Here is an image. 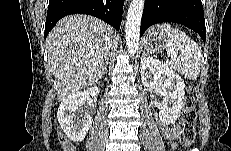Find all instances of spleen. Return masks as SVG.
I'll return each mask as SVG.
<instances>
[{"instance_id": "3e777b00", "label": "spleen", "mask_w": 231, "mask_h": 151, "mask_svg": "<svg viewBox=\"0 0 231 151\" xmlns=\"http://www.w3.org/2000/svg\"><path fill=\"white\" fill-rule=\"evenodd\" d=\"M161 29L168 37V56L170 64L177 63L185 78L195 80L200 73L202 60L201 47L184 32L173 29L170 24H163Z\"/></svg>"}]
</instances>
